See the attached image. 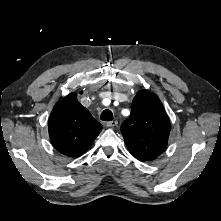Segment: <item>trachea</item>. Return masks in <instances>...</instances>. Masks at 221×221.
Instances as JSON below:
<instances>
[{"label":"trachea","mask_w":221,"mask_h":221,"mask_svg":"<svg viewBox=\"0 0 221 221\" xmlns=\"http://www.w3.org/2000/svg\"><path fill=\"white\" fill-rule=\"evenodd\" d=\"M100 118L103 121H112L113 120V113L110 110L106 109L101 113Z\"/></svg>","instance_id":"trachea-1"}]
</instances>
